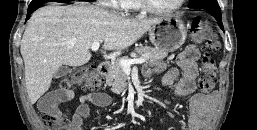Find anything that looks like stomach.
Returning <instances> with one entry per match:
<instances>
[{"label":"stomach","mask_w":257,"mask_h":130,"mask_svg":"<svg viewBox=\"0 0 257 130\" xmlns=\"http://www.w3.org/2000/svg\"><path fill=\"white\" fill-rule=\"evenodd\" d=\"M187 30L183 21L177 16L159 18L149 30V39L158 49L174 52L185 42Z\"/></svg>","instance_id":"stomach-1"}]
</instances>
